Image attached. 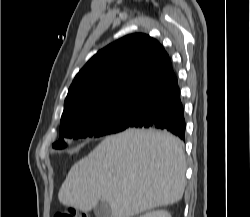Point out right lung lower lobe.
<instances>
[{"instance_id": "right-lung-lower-lobe-1", "label": "right lung lower lobe", "mask_w": 250, "mask_h": 217, "mask_svg": "<svg viewBox=\"0 0 250 217\" xmlns=\"http://www.w3.org/2000/svg\"><path fill=\"white\" fill-rule=\"evenodd\" d=\"M132 127L163 129L185 140L184 108L175 74L137 100L135 113L127 128Z\"/></svg>"}]
</instances>
